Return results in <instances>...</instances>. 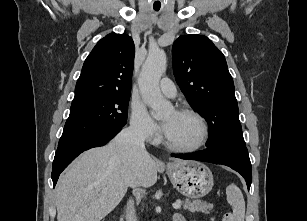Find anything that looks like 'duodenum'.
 I'll return each instance as SVG.
<instances>
[{
  "mask_svg": "<svg viewBox=\"0 0 307 221\" xmlns=\"http://www.w3.org/2000/svg\"><path fill=\"white\" fill-rule=\"evenodd\" d=\"M126 216V208L124 209L123 213L121 214L120 221H125Z\"/></svg>",
  "mask_w": 307,
  "mask_h": 221,
  "instance_id": "1",
  "label": "duodenum"
}]
</instances>
